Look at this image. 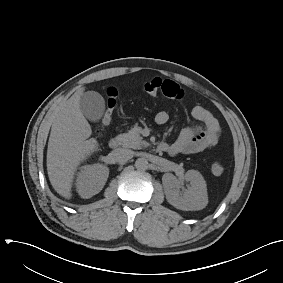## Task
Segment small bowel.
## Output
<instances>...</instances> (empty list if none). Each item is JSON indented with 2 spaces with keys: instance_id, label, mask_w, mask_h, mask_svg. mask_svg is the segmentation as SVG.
Here are the masks:
<instances>
[{
  "instance_id": "small-bowel-1",
  "label": "small bowel",
  "mask_w": 283,
  "mask_h": 283,
  "mask_svg": "<svg viewBox=\"0 0 283 283\" xmlns=\"http://www.w3.org/2000/svg\"><path fill=\"white\" fill-rule=\"evenodd\" d=\"M161 94L167 98L181 100L184 90L172 80H162ZM191 116L201 125L184 128L173 143H164L167 152L171 155L199 153L214 147L220 137V126L215 116L201 106L191 110ZM169 115L161 110L155 115V122L159 125L167 123Z\"/></svg>"
}]
</instances>
